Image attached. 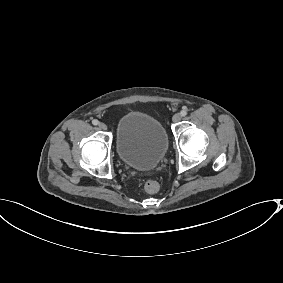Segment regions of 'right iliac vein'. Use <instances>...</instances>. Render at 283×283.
I'll return each instance as SVG.
<instances>
[{"label": "right iliac vein", "instance_id": "right-iliac-vein-1", "mask_svg": "<svg viewBox=\"0 0 283 283\" xmlns=\"http://www.w3.org/2000/svg\"><path fill=\"white\" fill-rule=\"evenodd\" d=\"M98 126L101 130H107V125L105 123H99Z\"/></svg>", "mask_w": 283, "mask_h": 283}]
</instances>
